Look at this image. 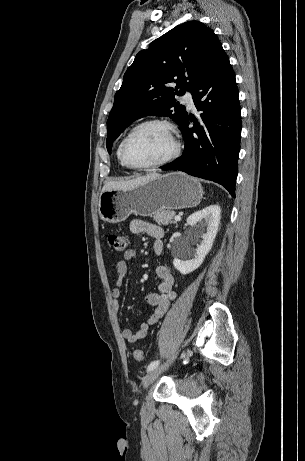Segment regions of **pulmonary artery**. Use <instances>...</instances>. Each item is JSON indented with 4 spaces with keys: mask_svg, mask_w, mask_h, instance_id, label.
<instances>
[{
    "mask_svg": "<svg viewBox=\"0 0 305 461\" xmlns=\"http://www.w3.org/2000/svg\"><path fill=\"white\" fill-rule=\"evenodd\" d=\"M183 101L188 105V107H194L193 95L191 92H186L183 96Z\"/></svg>",
    "mask_w": 305,
    "mask_h": 461,
    "instance_id": "1",
    "label": "pulmonary artery"
}]
</instances>
